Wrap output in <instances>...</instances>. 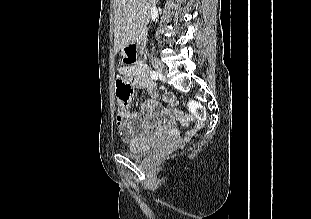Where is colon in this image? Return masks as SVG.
I'll list each match as a JSON object with an SVG mask.
<instances>
[{"label":"colon","mask_w":311,"mask_h":219,"mask_svg":"<svg viewBox=\"0 0 311 219\" xmlns=\"http://www.w3.org/2000/svg\"><path fill=\"white\" fill-rule=\"evenodd\" d=\"M128 55L127 62L130 64L136 63L135 56L128 53V47L126 50ZM133 89L129 83L126 75H121L116 79V96L119 105V113H124L128 107L129 101L132 97ZM189 109L198 120H204L206 117L205 109L196 102L189 103Z\"/></svg>","instance_id":"1"}]
</instances>
